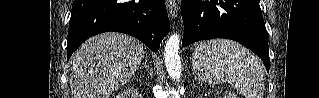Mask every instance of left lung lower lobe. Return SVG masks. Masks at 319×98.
Instances as JSON below:
<instances>
[{
    "mask_svg": "<svg viewBox=\"0 0 319 98\" xmlns=\"http://www.w3.org/2000/svg\"><path fill=\"white\" fill-rule=\"evenodd\" d=\"M182 45L226 38L252 50L269 72L268 35L258 0H182Z\"/></svg>",
    "mask_w": 319,
    "mask_h": 98,
    "instance_id": "1",
    "label": "left lung lower lobe"
}]
</instances>
